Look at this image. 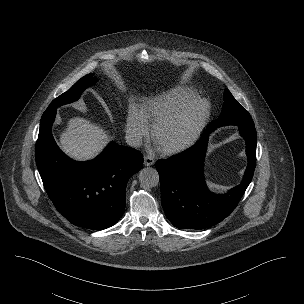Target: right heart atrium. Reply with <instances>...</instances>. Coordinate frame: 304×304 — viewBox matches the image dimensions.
I'll use <instances>...</instances> for the list:
<instances>
[{
    "mask_svg": "<svg viewBox=\"0 0 304 304\" xmlns=\"http://www.w3.org/2000/svg\"><path fill=\"white\" fill-rule=\"evenodd\" d=\"M127 134L134 145H139L149 134L147 120L138 110H131L126 124Z\"/></svg>",
    "mask_w": 304,
    "mask_h": 304,
    "instance_id": "right-heart-atrium-1",
    "label": "right heart atrium"
}]
</instances>
